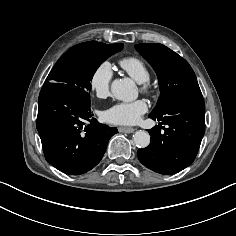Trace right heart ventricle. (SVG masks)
Instances as JSON below:
<instances>
[{
    "label": "right heart ventricle",
    "mask_w": 236,
    "mask_h": 236,
    "mask_svg": "<svg viewBox=\"0 0 236 236\" xmlns=\"http://www.w3.org/2000/svg\"><path fill=\"white\" fill-rule=\"evenodd\" d=\"M119 64L136 81L143 83L149 80V69L141 59L128 56L122 58Z\"/></svg>",
    "instance_id": "obj_1"
}]
</instances>
